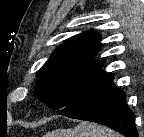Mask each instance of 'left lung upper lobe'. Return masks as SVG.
Masks as SVG:
<instances>
[{"instance_id": "left-lung-upper-lobe-1", "label": "left lung upper lobe", "mask_w": 144, "mask_h": 137, "mask_svg": "<svg viewBox=\"0 0 144 137\" xmlns=\"http://www.w3.org/2000/svg\"><path fill=\"white\" fill-rule=\"evenodd\" d=\"M99 34L85 32L60 45L42 66L34 90L49 108H65L110 75L93 58L99 50Z\"/></svg>"}]
</instances>
